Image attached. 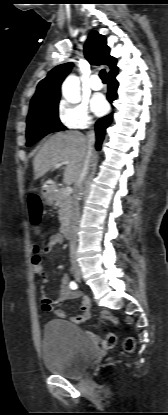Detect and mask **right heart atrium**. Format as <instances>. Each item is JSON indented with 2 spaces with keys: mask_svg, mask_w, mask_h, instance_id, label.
<instances>
[{
  "mask_svg": "<svg viewBox=\"0 0 168 415\" xmlns=\"http://www.w3.org/2000/svg\"><path fill=\"white\" fill-rule=\"evenodd\" d=\"M59 123L69 130H86L93 123V117L86 103L71 104L61 102L57 110Z\"/></svg>",
  "mask_w": 168,
  "mask_h": 415,
  "instance_id": "1",
  "label": "right heart atrium"
}]
</instances>
